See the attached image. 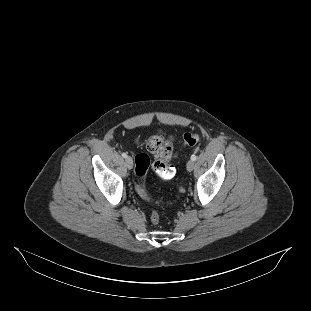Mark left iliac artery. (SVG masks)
Here are the masks:
<instances>
[{"instance_id":"1","label":"left iliac artery","mask_w":311,"mask_h":311,"mask_svg":"<svg viewBox=\"0 0 311 311\" xmlns=\"http://www.w3.org/2000/svg\"><path fill=\"white\" fill-rule=\"evenodd\" d=\"M196 159H197V156L193 154V155L191 156V160L195 161Z\"/></svg>"}]
</instances>
